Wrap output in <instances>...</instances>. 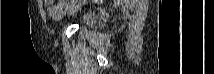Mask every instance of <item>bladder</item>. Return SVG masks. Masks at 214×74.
<instances>
[{
	"label": "bladder",
	"instance_id": "bladder-1",
	"mask_svg": "<svg viewBox=\"0 0 214 74\" xmlns=\"http://www.w3.org/2000/svg\"><path fill=\"white\" fill-rule=\"evenodd\" d=\"M94 16L92 15V14H86L85 16H84V21L86 22V23H90V22H92L93 20H94Z\"/></svg>",
	"mask_w": 214,
	"mask_h": 74
}]
</instances>
